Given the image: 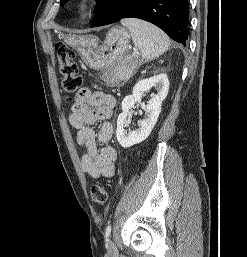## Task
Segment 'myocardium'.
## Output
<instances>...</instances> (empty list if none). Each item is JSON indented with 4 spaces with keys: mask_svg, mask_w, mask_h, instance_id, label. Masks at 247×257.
<instances>
[{
    "mask_svg": "<svg viewBox=\"0 0 247 257\" xmlns=\"http://www.w3.org/2000/svg\"><path fill=\"white\" fill-rule=\"evenodd\" d=\"M97 7L96 0H75L73 8L80 17H88Z\"/></svg>",
    "mask_w": 247,
    "mask_h": 257,
    "instance_id": "f54148a6",
    "label": "myocardium"
}]
</instances>
